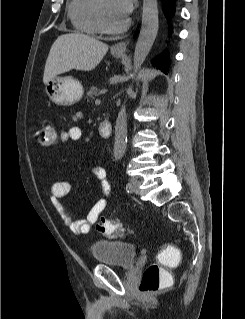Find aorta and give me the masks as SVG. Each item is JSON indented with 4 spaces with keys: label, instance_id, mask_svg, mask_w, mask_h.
Masks as SVG:
<instances>
[{
    "label": "aorta",
    "instance_id": "aorta-1",
    "mask_svg": "<svg viewBox=\"0 0 245 319\" xmlns=\"http://www.w3.org/2000/svg\"><path fill=\"white\" fill-rule=\"evenodd\" d=\"M158 31V3L157 0H143L142 8V26L140 34L135 46L133 56L134 74L132 78L140 70L143 62L148 56L153 43L155 41ZM126 94L131 97L134 94L132 86H129ZM126 101L122 105L115 125V142H114V157L119 160L123 157L126 151L127 144V113H126Z\"/></svg>",
    "mask_w": 245,
    "mask_h": 319
}]
</instances>
